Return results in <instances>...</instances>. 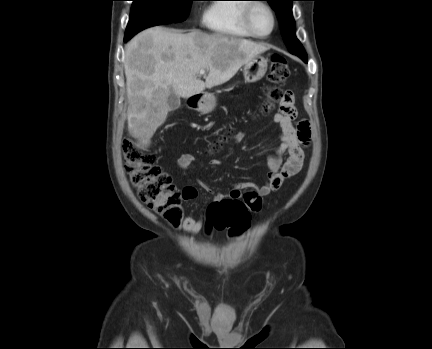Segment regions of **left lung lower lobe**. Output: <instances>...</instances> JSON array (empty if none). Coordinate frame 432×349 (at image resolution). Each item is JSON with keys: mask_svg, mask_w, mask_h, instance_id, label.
I'll list each match as a JSON object with an SVG mask.
<instances>
[{"mask_svg": "<svg viewBox=\"0 0 432 349\" xmlns=\"http://www.w3.org/2000/svg\"><path fill=\"white\" fill-rule=\"evenodd\" d=\"M305 63H307V59L306 58H301Z\"/></svg>", "mask_w": 432, "mask_h": 349, "instance_id": "1", "label": "left lung lower lobe"}]
</instances>
